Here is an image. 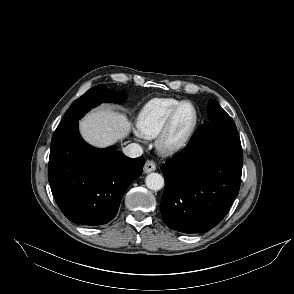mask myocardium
<instances>
[{
	"instance_id": "obj_1",
	"label": "myocardium",
	"mask_w": 294,
	"mask_h": 294,
	"mask_svg": "<svg viewBox=\"0 0 294 294\" xmlns=\"http://www.w3.org/2000/svg\"><path fill=\"white\" fill-rule=\"evenodd\" d=\"M185 105H190L194 111V118L186 130V132L179 138H173L172 133L175 127L176 119ZM199 122V112L196 105L188 100L181 101L171 112L165 124L157 134L156 147L157 149L167 155L175 154L183 150L190 142Z\"/></svg>"
}]
</instances>
